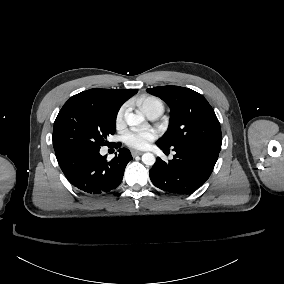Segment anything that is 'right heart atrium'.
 Masks as SVG:
<instances>
[{"instance_id": "d8ad5b80", "label": "right heart atrium", "mask_w": 284, "mask_h": 284, "mask_svg": "<svg viewBox=\"0 0 284 284\" xmlns=\"http://www.w3.org/2000/svg\"><path fill=\"white\" fill-rule=\"evenodd\" d=\"M126 105L124 104L117 113L116 121L117 123H121L124 120L125 112H126Z\"/></svg>"}]
</instances>
